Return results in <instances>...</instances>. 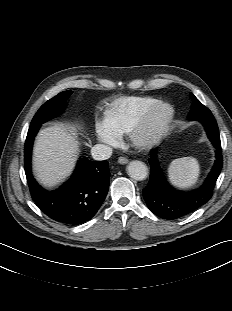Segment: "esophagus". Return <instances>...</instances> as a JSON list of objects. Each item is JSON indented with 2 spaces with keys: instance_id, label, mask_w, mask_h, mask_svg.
Masks as SVG:
<instances>
[{
  "instance_id": "esophagus-1",
  "label": "esophagus",
  "mask_w": 232,
  "mask_h": 311,
  "mask_svg": "<svg viewBox=\"0 0 232 311\" xmlns=\"http://www.w3.org/2000/svg\"><path fill=\"white\" fill-rule=\"evenodd\" d=\"M128 159L127 158H125V157H119V159H118V162L120 163V164H127L128 163Z\"/></svg>"
}]
</instances>
